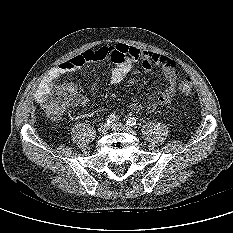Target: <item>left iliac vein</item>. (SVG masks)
<instances>
[{
	"label": "left iliac vein",
	"mask_w": 233,
	"mask_h": 233,
	"mask_svg": "<svg viewBox=\"0 0 233 233\" xmlns=\"http://www.w3.org/2000/svg\"><path fill=\"white\" fill-rule=\"evenodd\" d=\"M109 127L115 131H131V129L128 126L121 124V123H114L110 125Z\"/></svg>",
	"instance_id": "4c4485c4"
}]
</instances>
